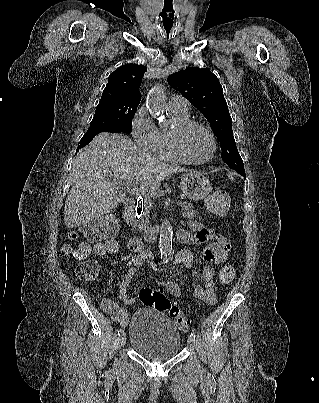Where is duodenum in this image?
Segmentation results:
<instances>
[{
  "mask_svg": "<svg viewBox=\"0 0 319 403\" xmlns=\"http://www.w3.org/2000/svg\"><path fill=\"white\" fill-rule=\"evenodd\" d=\"M125 211H124V220L128 223L133 217L136 209L141 206L140 199L134 194H128L124 201ZM161 230L160 224H154L148 227L142 238H137L131 235L128 239V247L131 250H140L142 249L145 242L154 241L157 235Z\"/></svg>",
  "mask_w": 319,
  "mask_h": 403,
  "instance_id": "duodenum-1",
  "label": "duodenum"
}]
</instances>
